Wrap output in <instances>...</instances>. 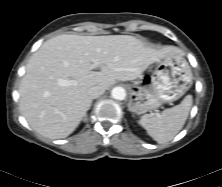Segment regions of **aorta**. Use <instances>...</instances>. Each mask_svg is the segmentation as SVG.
<instances>
[{"mask_svg":"<svg viewBox=\"0 0 222 187\" xmlns=\"http://www.w3.org/2000/svg\"><path fill=\"white\" fill-rule=\"evenodd\" d=\"M111 97L116 100H124L126 97V91L122 87H115L111 91Z\"/></svg>","mask_w":222,"mask_h":187,"instance_id":"aorta-1","label":"aorta"}]
</instances>
